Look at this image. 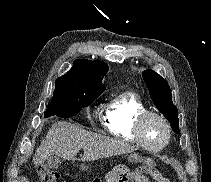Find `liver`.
<instances>
[{
	"mask_svg": "<svg viewBox=\"0 0 211 182\" xmlns=\"http://www.w3.org/2000/svg\"><path fill=\"white\" fill-rule=\"evenodd\" d=\"M81 149L84 150L82 161H95L135 150L133 146L119 139L86 131L76 124L56 122L36 150L33 161L38 165L50 155L74 161Z\"/></svg>",
	"mask_w": 211,
	"mask_h": 182,
	"instance_id": "liver-1",
	"label": "liver"
}]
</instances>
